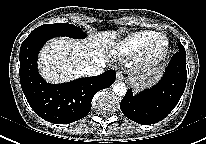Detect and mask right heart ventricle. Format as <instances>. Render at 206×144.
<instances>
[{
  "mask_svg": "<svg viewBox=\"0 0 206 144\" xmlns=\"http://www.w3.org/2000/svg\"><path fill=\"white\" fill-rule=\"evenodd\" d=\"M157 34L158 32L151 30L132 32L120 39L113 46V53L118 56H128L139 53L147 42Z\"/></svg>",
  "mask_w": 206,
  "mask_h": 144,
  "instance_id": "right-heart-ventricle-1",
  "label": "right heart ventricle"
}]
</instances>
